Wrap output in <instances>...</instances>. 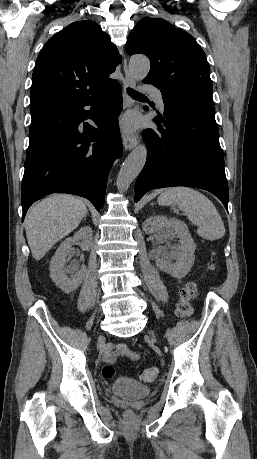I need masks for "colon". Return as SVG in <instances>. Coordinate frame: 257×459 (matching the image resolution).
I'll list each match as a JSON object with an SVG mask.
<instances>
[{"label":"colon","mask_w":257,"mask_h":459,"mask_svg":"<svg viewBox=\"0 0 257 459\" xmlns=\"http://www.w3.org/2000/svg\"><path fill=\"white\" fill-rule=\"evenodd\" d=\"M197 295V286L195 283H188L181 291H180V300L177 305V314L180 317L186 318L189 317L192 312V300ZM115 375V369L112 365L107 364L102 369V376L106 379H111ZM158 375V370L155 367H148L141 371L140 378L144 382H152L156 379Z\"/></svg>","instance_id":"5ec220e1"}]
</instances>
